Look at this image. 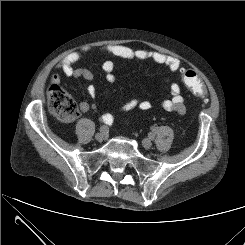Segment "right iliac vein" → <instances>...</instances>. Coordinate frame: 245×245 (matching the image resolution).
<instances>
[{"instance_id": "obj_1", "label": "right iliac vein", "mask_w": 245, "mask_h": 245, "mask_svg": "<svg viewBox=\"0 0 245 245\" xmlns=\"http://www.w3.org/2000/svg\"><path fill=\"white\" fill-rule=\"evenodd\" d=\"M95 139L98 141V142H102L104 139H105V134L102 133V132H99L95 135Z\"/></svg>"}]
</instances>
